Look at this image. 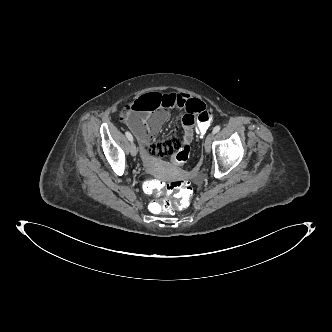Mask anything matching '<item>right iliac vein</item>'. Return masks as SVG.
Returning a JSON list of instances; mask_svg holds the SVG:
<instances>
[{"instance_id":"right-iliac-vein-1","label":"right iliac vein","mask_w":332,"mask_h":332,"mask_svg":"<svg viewBox=\"0 0 332 332\" xmlns=\"http://www.w3.org/2000/svg\"><path fill=\"white\" fill-rule=\"evenodd\" d=\"M130 153L132 156H136L137 154V147L133 142L130 144Z\"/></svg>"}]
</instances>
